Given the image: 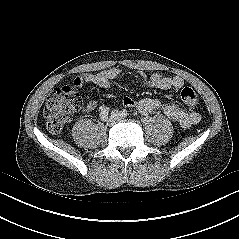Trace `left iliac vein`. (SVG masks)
<instances>
[{
  "label": "left iliac vein",
  "mask_w": 239,
  "mask_h": 239,
  "mask_svg": "<svg viewBox=\"0 0 239 239\" xmlns=\"http://www.w3.org/2000/svg\"><path fill=\"white\" fill-rule=\"evenodd\" d=\"M111 116L115 120H122V119H124V116H122V113L120 111H118V110H112Z\"/></svg>",
  "instance_id": "left-iliac-vein-1"
}]
</instances>
